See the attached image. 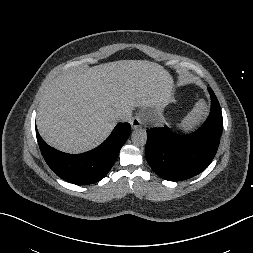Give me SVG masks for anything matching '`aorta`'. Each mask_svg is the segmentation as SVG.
<instances>
[{"label": "aorta", "mask_w": 253, "mask_h": 253, "mask_svg": "<svg viewBox=\"0 0 253 253\" xmlns=\"http://www.w3.org/2000/svg\"><path fill=\"white\" fill-rule=\"evenodd\" d=\"M132 142L136 146H144L147 142V133L144 129H136L132 132Z\"/></svg>", "instance_id": "1"}]
</instances>
